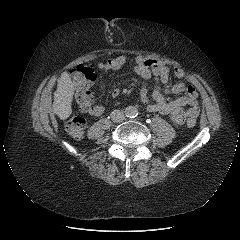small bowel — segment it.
<instances>
[{"label": "small bowel", "instance_id": "1", "mask_svg": "<svg viewBox=\"0 0 240 240\" xmlns=\"http://www.w3.org/2000/svg\"><path fill=\"white\" fill-rule=\"evenodd\" d=\"M125 56H118L110 59L104 64H100L99 68L103 70H119L126 64ZM134 70L141 78V88L139 93V100L150 112H158L167 115L176 124H183L188 118H197L200 112L197 102L198 92L194 85L186 84L183 81L165 89L168 94L186 93L181 97H176L167 100L159 86L149 95L146 81L154 75L159 84H166L170 78L171 70L162 61L155 59H146L141 56L135 58ZM174 75L182 80L185 73L181 69H175ZM113 98L120 95V91L115 89L111 93ZM93 117H98L104 113V107L101 105L92 106L88 112Z\"/></svg>", "mask_w": 240, "mask_h": 240}]
</instances>
